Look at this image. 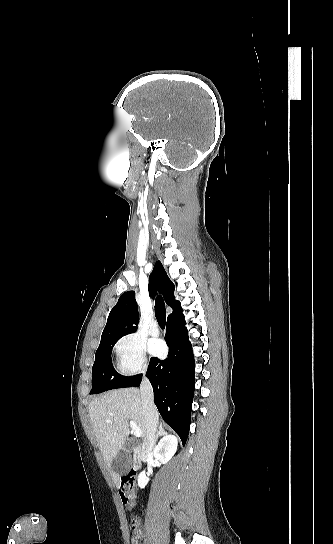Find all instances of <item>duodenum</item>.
Listing matches in <instances>:
<instances>
[{
    "mask_svg": "<svg viewBox=\"0 0 333 544\" xmlns=\"http://www.w3.org/2000/svg\"><path fill=\"white\" fill-rule=\"evenodd\" d=\"M150 456V450L146 447H136L133 451V468L137 470Z\"/></svg>",
    "mask_w": 333,
    "mask_h": 544,
    "instance_id": "410a0bca",
    "label": "duodenum"
}]
</instances>
